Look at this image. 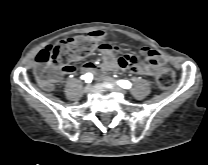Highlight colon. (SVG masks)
<instances>
[{
    "instance_id": "5ec220e1",
    "label": "colon",
    "mask_w": 208,
    "mask_h": 165,
    "mask_svg": "<svg viewBox=\"0 0 208 165\" xmlns=\"http://www.w3.org/2000/svg\"><path fill=\"white\" fill-rule=\"evenodd\" d=\"M97 42L90 35L62 39L54 45L41 50L35 58V77L40 85L50 89L60 77L62 67L74 63L90 55L96 48ZM129 56H126V60ZM159 87L168 89L175 83L173 70L164 68L157 76Z\"/></svg>"
}]
</instances>
